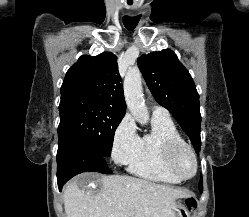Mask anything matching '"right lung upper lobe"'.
Listing matches in <instances>:
<instances>
[{"label":"right lung upper lobe","instance_id":"right-lung-upper-lobe-1","mask_svg":"<svg viewBox=\"0 0 249 217\" xmlns=\"http://www.w3.org/2000/svg\"><path fill=\"white\" fill-rule=\"evenodd\" d=\"M120 82L116 55L111 52L82 55L66 73L61 99H87L125 113L126 103Z\"/></svg>","mask_w":249,"mask_h":217}]
</instances>
